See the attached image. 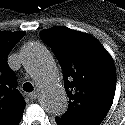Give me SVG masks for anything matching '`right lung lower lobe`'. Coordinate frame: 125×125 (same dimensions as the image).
I'll return each instance as SVG.
<instances>
[{
  "mask_svg": "<svg viewBox=\"0 0 125 125\" xmlns=\"http://www.w3.org/2000/svg\"><path fill=\"white\" fill-rule=\"evenodd\" d=\"M23 112L20 113L18 116H16L14 119H12L10 122H8L6 125H18L21 118H22Z\"/></svg>",
  "mask_w": 125,
  "mask_h": 125,
  "instance_id": "1",
  "label": "right lung lower lobe"
}]
</instances>
